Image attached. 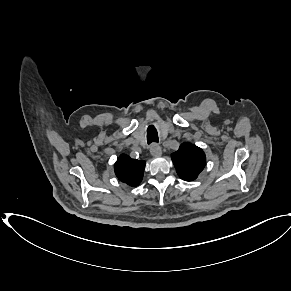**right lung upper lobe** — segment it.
Here are the masks:
<instances>
[{
  "mask_svg": "<svg viewBox=\"0 0 291 291\" xmlns=\"http://www.w3.org/2000/svg\"><path fill=\"white\" fill-rule=\"evenodd\" d=\"M114 168L115 174L120 181L135 187L143 178L145 161L132 159L122 154L117 159Z\"/></svg>",
  "mask_w": 291,
  "mask_h": 291,
  "instance_id": "right-lung-upper-lobe-1",
  "label": "right lung upper lobe"
}]
</instances>
